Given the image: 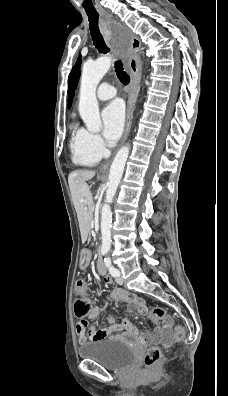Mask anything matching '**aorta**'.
I'll return each mask as SVG.
<instances>
[{
  "instance_id": "1",
  "label": "aorta",
  "mask_w": 228,
  "mask_h": 396,
  "mask_svg": "<svg viewBox=\"0 0 228 396\" xmlns=\"http://www.w3.org/2000/svg\"><path fill=\"white\" fill-rule=\"evenodd\" d=\"M112 61L113 59L111 56H105L100 57L95 62L85 63L83 66L78 109L86 128L90 132H98L102 127L98 101L96 98V89L100 80L110 69ZM128 155L129 145H125L117 152L110 167L105 203L101 210L102 250L104 251L110 250L112 242V212L109 203L115 196L123 175Z\"/></svg>"
}]
</instances>
